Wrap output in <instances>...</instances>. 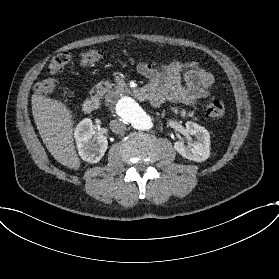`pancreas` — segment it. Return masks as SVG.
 <instances>
[{
	"label": "pancreas",
	"instance_id": "1",
	"mask_svg": "<svg viewBox=\"0 0 279 279\" xmlns=\"http://www.w3.org/2000/svg\"><path fill=\"white\" fill-rule=\"evenodd\" d=\"M113 87V84L109 83V82H104L101 81L99 83H97L96 85H94V90L95 92L100 95V96H105L106 94H109L111 92V89ZM171 110L174 113H177V109L175 107H172ZM182 117H193L194 113H186V111L184 110L183 113L181 114Z\"/></svg>",
	"mask_w": 279,
	"mask_h": 279
}]
</instances>
